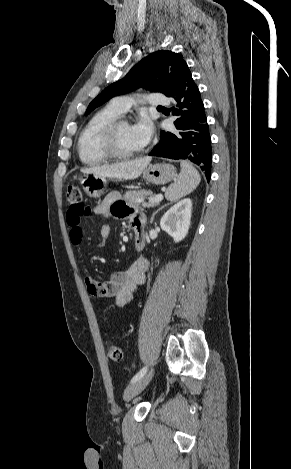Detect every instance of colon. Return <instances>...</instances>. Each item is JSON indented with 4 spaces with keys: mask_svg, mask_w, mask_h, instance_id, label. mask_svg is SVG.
Masks as SVG:
<instances>
[{
    "mask_svg": "<svg viewBox=\"0 0 291 469\" xmlns=\"http://www.w3.org/2000/svg\"><path fill=\"white\" fill-rule=\"evenodd\" d=\"M66 197L71 208L75 209L82 216L89 215L90 209L82 204V192L79 186L69 185ZM106 350L108 357L112 361L119 362L123 359V351L119 346L113 343H108Z\"/></svg>",
    "mask_w": 291,
    "mask_h": 469,
    "instance_id": "obj_1",
    "label": "colon"
}]
</instances>
